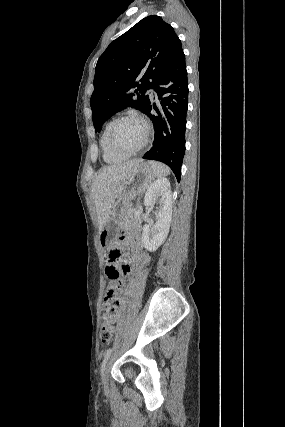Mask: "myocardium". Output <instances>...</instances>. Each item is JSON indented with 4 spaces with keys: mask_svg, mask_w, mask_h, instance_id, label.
<instances>
[{
    "mask_svg": "<svg viewBox=\"0 0 285 427\" xmlns=\"http://www.w3.org/2000/svg\"><path fill=\"white\" fill-rule=\"evenodd\" d=\"M128 119H132V120H136L138 122H140L143 126H144V130H145V135H144V139L141 142V144L133 149V150H124L122 148H120L118 145H116V143L113 140V132L115 127L117 126V124L123 120H128ZM150 131H151V126L149 124V122L141 115L136 114V113H126L123 115L118 116L117 118H115L108 129V133H107V141L109 144V147L116 153L124 155V156H132L137 154L138 152H140L142 149H144L148 142H149V136H150Z\"/></svg>",
    "mask_w": 285,
    "mask_h": 427,
    "instance_id": "obj_1",
    "label": "myocardium"
}]
</instances>
